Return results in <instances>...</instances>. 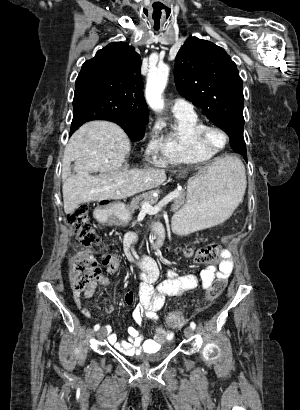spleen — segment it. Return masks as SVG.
Listing matches in <instances>:
<instances>
[{
  "mask_svg": "<svg viewBox=\"0 0 300 410\" xmlns=\"http://www.w3.org/2000/svg\"><path fill=\"white\" fill-rule=\"evenodd\" d=\"M227 168L235 169L237 173V186L240 191L239 202L242 200L245 189H246V174H245V167L243 166L242 162L234 157H231L227 164Z\"/></svg>",
  "mask_w": 300,
  "mask_h": 410,
  "instance_id": "obj_1",
  "label": "spleen"
}]
</instances>
